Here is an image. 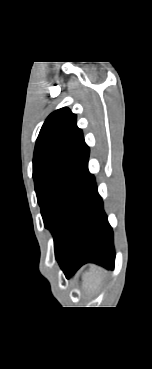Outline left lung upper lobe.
I'll use <instances>...</instances> for the list:
<instances>
[{
  "label": "left lung upper lobe",
  "mask_w": 152,
  "mask_h": 369,
  "mask_svg": "<svg viewBox=\"0 0 152 369\" xmlns=\"http://www.w3.org/2000/svg\"><path fill=\"white\" fill-rule=\"evenodd\" d=\"M89 147L76 115L64 107L54 111L38 135L33 178L44 225L54 238L57 257L71 211L88 169Z\"/></svg>",
  "instance_id": "obj_1"
}]
</instances>
